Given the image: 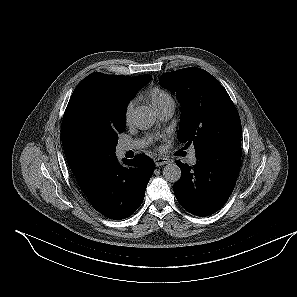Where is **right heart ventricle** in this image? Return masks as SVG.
Masks as SVG:
<instances>
[{
    "label": "right heart ventricle",
    "mask_w": 297,
    "mask_h": 297,
    "mask_svg": "<svg viewBox=\"0 0 297 297\" xmlns=\"http://www.w3.org/2000/svg\"><path fill=\"white\" fill-rule=\"evenodd\" d=\"M148 99L152 102V104L158 109L165 102L172 99L170 94L160 88H153L147 94Z\"/></svg>",
    "instance_id": "right-heart-ventricle-1"
}]
</instances>
